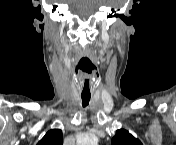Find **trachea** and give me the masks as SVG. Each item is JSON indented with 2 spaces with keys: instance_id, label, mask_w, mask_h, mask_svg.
<instances>
[{
  "instance_id": "obj_1",
  "label": "trachea",
  "mask_w": 176,
  "mask_h": 145,
  "mask_svg": "<svg viewBox=\"0 0 176 145\" xmlns=\"http://www.w3.org/2000/svg\"><path fill=\"white\" fill-rule=\"evenodd\" d=\"M81 98L83 107H86L89 104L91 95H81Z\"/></svg>"
}]
</instances>
